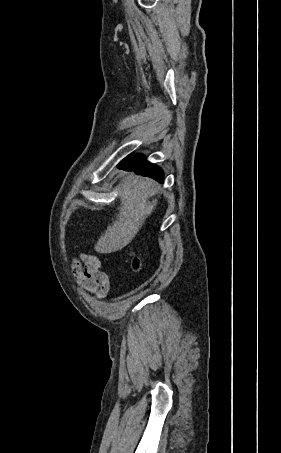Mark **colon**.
<instances>
[{
    "label": "colon",
    "mask_w": 281,
    "mask_h": 453,
    "mask_svg": "<svg viewBox=\"0 0 281 453\" xmlns=\"http://www.w3.org/2000/svg\"><path fill=\"white\" fill-rule=\"evenodd\" d=\"M140 267L138 260L136 259L134 262V268L138 269Z\"/></svg>",
    "instance_id": "obj_1"
}]
</instances>
